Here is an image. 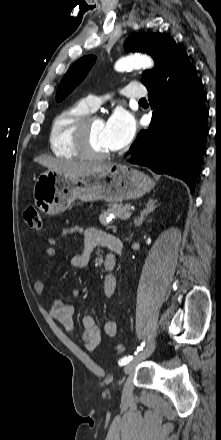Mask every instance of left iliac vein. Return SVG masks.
Segmentation results:
<instances>
[{
  "label": "left iliac vein",
  "instance_id": "obj_1",
  "mask_svg": "<svg viewBox=\"0 0 221 440\" xmlns=\"http://www.w3.org/2000/svg\"><path fill=\"white\" fill-rule=\"evenodd\" d=\"M154 349H155V341H152V342L148 345V347H147V348H146V349H145V350L139 355L138 358H136L135 360H132L131 362H129V363L125 366V368H124V372H125L126 374L131 373V372L134 370L135 366H136L140 361L146 359L147 357H149V356L152 354V352L154 351Z\"/></svg>",
  "mask_w": 221,
  "mask_h": 440
}]
</instances>
